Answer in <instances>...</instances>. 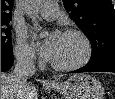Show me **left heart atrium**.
<instances>
[{"label": "left heart atrium", "mask_w": 115, "mask_h": 99, "mask_svg": "<svg viewBox=\"0 0 115 99\" xmlns=\"http://www.w3.org/2000/svg\"><path fill=\"white\" fill-rule=\"evenodd\" d=\"M63 34L60 32L50 33L43 41L39 42V51L47 60H52L60 45Z\"/></svg>", "instance_id": "obj_1"}]
</instances>
